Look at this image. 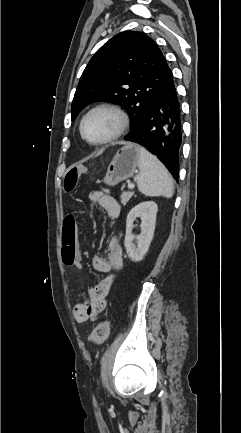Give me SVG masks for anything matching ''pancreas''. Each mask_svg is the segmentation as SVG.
Returning <instances> with one entry per match:
<instances>
[{"mask_svg":"<svg viewBox=\"0 0 241 433\" xmlns=\"http://www.w3.org/2000/svg\"><path fill=\"white\" fill-rule=\"evenodd\" d=\"M132 196L133 192H123L121 195V204L126 205Z\"/></svg>","mask_w":241,"mask_h":433,"instance_id":"pancreas-1","label":"pancreas"}]
</instances>
